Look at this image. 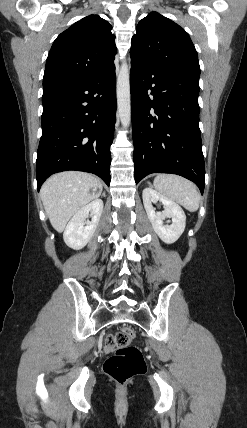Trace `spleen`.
<instances>
[{
  "label": "spleen",
  "instance_id": "spleen-1",
  "mask_svg": "<svg viewBox=\"0 0 247 428\" xmlns=\"http://www.w3.org/2000/svg\"><path fill=\"white\" fill-rule=\"evenodd\" d=\"M153 184L162 195L176 201L188 211L198 210L200 195L193 182L174 174H158Z\"/></svg>",
  "mask_w": 247,
  "mask_h": 428
}]
</instances>
